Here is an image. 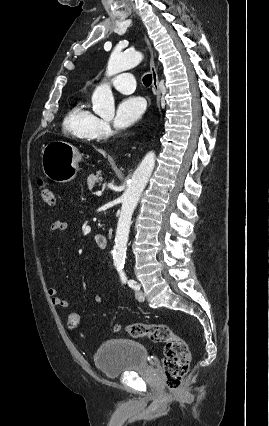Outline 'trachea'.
Instances as JSON below:
<instances>
[{
    "label": "trachea",
    "mask_w": 269,
    "mask_h": 426,
    "mask_svg": "<svg viewBox=\"0 0 269 426\" xmlns=\"http://www.w3.org/2000/svg\"><path fill=\"white\" fill-rule=\"evenodd\" d=\"M143 83L146 87L150 86L152 83V75L151 74H147L143 77Z\"/></svg>",
    "instance_id": "trachea-1"
}]
</instances>
